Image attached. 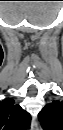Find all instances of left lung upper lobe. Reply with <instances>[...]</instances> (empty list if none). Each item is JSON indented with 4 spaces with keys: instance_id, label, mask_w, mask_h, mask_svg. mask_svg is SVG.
I'll use <instances>...</instances> for the list:
<instances>
[{
    "instance_id": "left-lung-upper-lobe-1",
    "label": "left lung upper lobe",
    "mask_w": 63,
    "mask_h": 130,
    "mask_svg": "<svg viewBox=\"0 0 63 130\" xmlns=\"http://www.w3.org/2000/svg\"><path fill=\"white\" fill-rule=\"evenodd\" d=\"M39 120L45 130H63V102L47 104L39 113Z\"/></svg>"
}]
</instances>
